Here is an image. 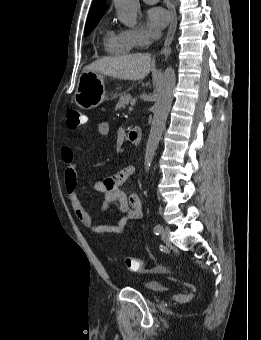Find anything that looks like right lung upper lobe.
<instances>
[{
	"instance_id": "obj_1",
	"label": "right lung upper lobe",
	"mask_w": 261,
	"mask_h": 340,
	"mask_svg": "<svg viewBox=\"0 0 261 340\" xmlns=\"http://www.w3.org/2000/svg\"><path fill=\"white\" fill-rule=\"evenodd\" d=\"M104 1L105 0H94L91 6L87 23L93 22L95 20H100L104 13ZM86 23V24H87Z\"/></svg>"
}]
</instances>
